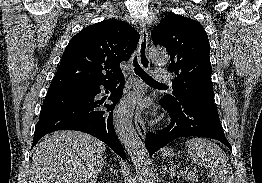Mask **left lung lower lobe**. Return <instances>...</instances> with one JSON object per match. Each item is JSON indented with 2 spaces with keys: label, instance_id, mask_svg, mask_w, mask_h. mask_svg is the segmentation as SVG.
<instances>
[{
  "label": "left lung lower lobe",
  "instance_id": "0a47b994",
  "mask_svg": "<svg viewBox=\"0 0 262 183\" xmlns=\"http://www.w3.org/2000/svg\"><path fill=\"white\" fill-rule=\"evenodd\" d=\"M160 104L169 113L171 123L162 130H156L154 133L148 132L145 146L150 156L171 141L184 136L213 138L231 149L214 104L179 102L170 105L162 100Z\"/></svg>",
  "mask_w": 262,
  "mask_h": 183
}]
</instances>
